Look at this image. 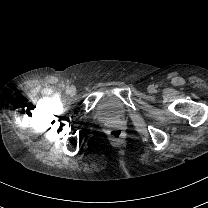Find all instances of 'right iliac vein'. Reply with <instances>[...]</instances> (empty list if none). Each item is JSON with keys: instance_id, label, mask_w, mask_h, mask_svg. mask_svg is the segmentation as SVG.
Masks as SVG:
<instances>
[{"instance_id": "1", "label": "right iliac vein", "mask_w": 208, "mask_h": 208, "mask_svg": "<svg viewBox=\"0 0 208 208\" xmlns=\"http://www.w3.org/2000/svg\"><path fill=\"white\" fill-rule=\"evenodd\" d=\"M68 93L73 96L76 94V88L74 86H71L68 88Z\"/></svg>"}]
</instances>
